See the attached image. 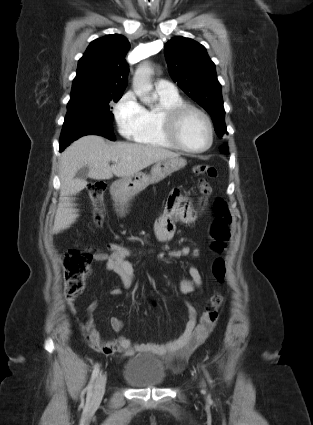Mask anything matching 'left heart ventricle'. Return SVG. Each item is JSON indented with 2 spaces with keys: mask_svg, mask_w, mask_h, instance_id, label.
I'll list each match as a JSON object with an SVG mask.
<instances>
[{
  "mask_svg": "<svg viewBox=\"0 0 313 425\" xmlns=\"http://www.w3.org/2000/svg\"><path fill=\"white\" fill-rule=\"evenodd\" d=\"M180 136L189 148L204 147L209 140L208 128L204 119L195 113L188 115L182 123Z\"/></svg>",
  "mask_w": 313,
  "mask_h": 425,
  "instance_id": "obj_1",
  "label": "left heart ventricle"
}]
</instances>
